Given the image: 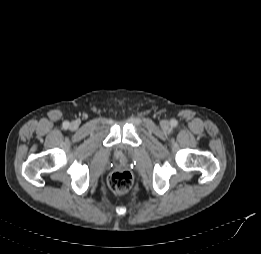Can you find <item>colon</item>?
<instances>
[{
	"mask_svg": "<svg viewBox=\"0 0 261 254\" xmlns=\"http://www.w3.org/2000/svg\"><path fill=\"white\" fill-rule=\"evenodd\" d=\"M108 183L114 192L123 194L131 188L133 177L129 171L119 170L110 175Z\"/></svg>",
	"mask_w": 261,
	"mask_h": 254,
	"instance_id": "5ec220e1",
	"label": "colon"
}]
</instances>
